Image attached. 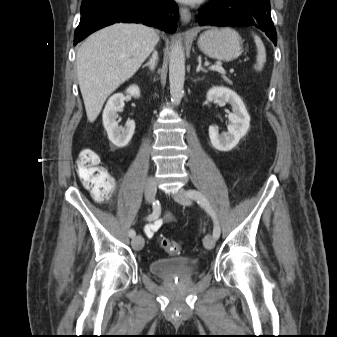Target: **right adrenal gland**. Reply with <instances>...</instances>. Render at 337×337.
Here are the masks:
<instances>
[{"label":"right adrenal gland","instance_id":"1","mask_svg":"<svg viewBox=\"0 0 337 337\" xmlns=\"http://www.w3.org/2000/svg\"><path fill=\"white\" fill-rule=\"evenodd\" d=\"M158 63V53L157 51H153L152 57L150 58V61H148L145 65H143L144 67H149V69L153 72L156 68V65Z\"/></svg>","mask_w":337,"mask_h":337}]
</instances>
